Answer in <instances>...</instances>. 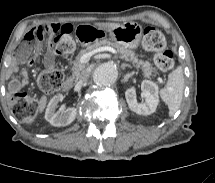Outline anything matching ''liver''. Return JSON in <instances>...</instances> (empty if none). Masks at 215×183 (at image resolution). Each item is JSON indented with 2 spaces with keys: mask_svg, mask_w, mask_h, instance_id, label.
Segmentation results:
<instances>
[{
  "mask_svg": "<svg viewBox=\"0 0 215 183\" xmlns=\"http://www.w3.org/2000/svg\"><path fill=\"white\" fill-rule=\"evenodd\" d=\"M122 24L120 23H104V22H98V23H94V27H97L99 29H106L109 30L111 28H115L118 26H121ZM46 102H47V97L46 96H42L41 99L39 100L38 103V110L39 112H42L46 106Z\"/></svg>",
  "mask_w": 215,
  "mask_h": 183,
  "instance_id": "liver-1",
  "label": "liver"
}]
</instances>
